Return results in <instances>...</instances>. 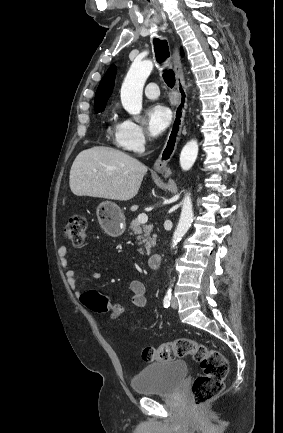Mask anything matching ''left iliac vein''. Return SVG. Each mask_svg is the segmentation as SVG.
<instances>
[{"label": "left iliac vein", "instance_id": "obj_1", "mask_svg": "<svg viewBox=\"0 0 283 433\" xmlns=\"http://www.w3.org/2000/svg\"><path fill=\"white\" fill-rule=\"evenodd\" d=\"M171 307L173 309H177V307H178L177 299L175 297L172 298Z\"/></svg>", "mask_w": 283, "mask_h": 433}]
</instances>
